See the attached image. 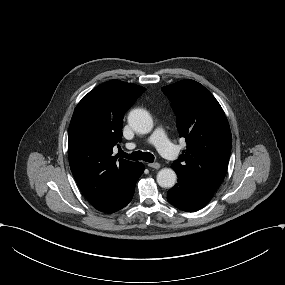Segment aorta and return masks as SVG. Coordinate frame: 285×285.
I'll use <instances>...</instances> for the list:
<instances>
[{
  "instance_id": "aorta-1",
  "label": "aorta",
  "mask_w": 285,
  "mask_h": 285,
  "mask_svg": "<svg viewBox=\"0 0 285 285\" xmlns=\"http://www.w3.org/2000/svg\"><path fill=\"white\" fill-rule=\"evenodd\" d=\"M128 123L139 134H148L153 129V120L148 111L133 109L128 115ZM177 175L171 168H163L157 173V182L163 188H172Z\"/></svg>"
}]
</instances>
